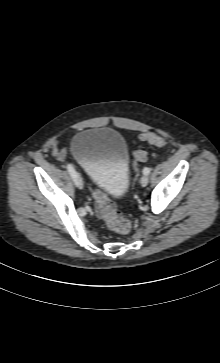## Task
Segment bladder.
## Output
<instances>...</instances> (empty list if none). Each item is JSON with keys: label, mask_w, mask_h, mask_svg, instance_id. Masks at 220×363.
<instances>
[{"label": "bladder", "mask_w": 220, "mask_h": 363, "mask_svg": "<svg viewBox=\"0 0 220 363\" xmlns=\"http://www.w3.org/2000/svg\"><path fill=\"white\" fill-rule=\"evenodd\" d=\"M71 154L92 182L112 199H120L129 180V150L124 137L105 127H92L76 133Z\"/></svg>", "instance_id": "obj_1"}]
</instances>
